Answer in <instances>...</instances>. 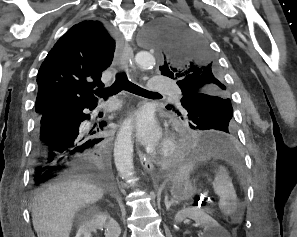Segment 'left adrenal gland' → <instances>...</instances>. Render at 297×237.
<instances>
[{"label": "left adrenal gland", "instance_id": "a2214340", "mask_svg": "<svg viewBox=\"0 0 297 237\" xmlns=\"http://www.w3.org/2000/svg\"><path fill=\"white\" fill-rule=\"evenodd\" d=\"M164 203H165V206H166V210H169L172 205L176 204V201L173 200V199L168 201V195H165Z\"/></svg>", "mask_w": 297, "mask_h": 237}]
</instances>
